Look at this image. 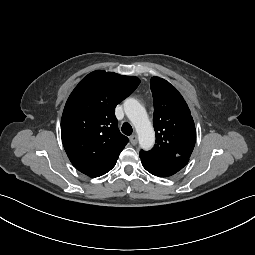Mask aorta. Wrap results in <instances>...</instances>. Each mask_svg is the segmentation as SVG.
I'll use <instances>...</instances> for the list:
<instances>
[{"label":"aorta","instance_id":"762f6f07","mask_svg":"<svg viewBox=\"0 0 255 255\" xmlns=\"http://www.w3.org/2000/svg\"><path fill=\"white\" fill-rule=\"evenodd\" d=\"M124 111L138 134L140 147L150 150L155 142V133L145 108L134 98L124 102Z\"/></svg>","mask_w":255,"mask_h":255}]
</instances>
